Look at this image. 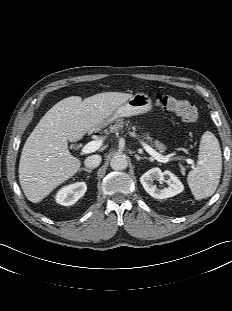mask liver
I'll list each match as a JSON object with an SVG mask.
<instances>
[{
	"label": "liver",
	"instance_id": "1",
	"mask_svg": "<svg viewBox=\"0 0 232 311\" xmlns=\"http://www.w3.org/2000/svg\"><path fill=\"white\" fill-rule=\"evenodd\" d=\"M133 95L98 93L82 100L67 97L41 118L27 138L19 162V181L26 198L38 203L79 170L81 161L70 154L68 141H78L98 128Z\"/></svg>",
	"mask_w": 232,
	"mask_h": 311
}]
</instances>
